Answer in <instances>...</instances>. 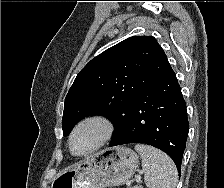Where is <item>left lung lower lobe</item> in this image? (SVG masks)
<instances>
[{
    "instance_id": "1",
    "label": "left lung lower lobe",
    "mask_w": 224,
    "mask_h": 188,
    "mask_svg": "<svg viewBox=\"0 0 224 188\" xmlns=\"http://www.w3.org/2000/svg\"><path fill=\"white\" fill-rule=\"evenodd\" d=\"M188 130L186 105L171 68L140 93L128 120L109 146L128 143L154 146L172 158L180 173Z\"/></svg>"
}]
</instances>
